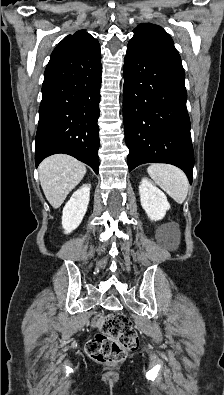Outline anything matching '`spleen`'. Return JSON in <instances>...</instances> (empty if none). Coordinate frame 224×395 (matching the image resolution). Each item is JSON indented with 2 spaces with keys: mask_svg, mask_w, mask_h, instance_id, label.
I'll list each match as a JSON object with an SVG mask.
<instances>
[{
  "mask_svg": "<svg viewBox=\"0 0 224 395\" xmlns=\"http://www.w3.org/2000/svg\"><path fill=\"white\" fill-rule=\"evenodd\" d=\"M147 172L175 202L182 204L185 201L189 182L181 169L169 164H152Z\"/></svg>",
  "mask_w": 224,
  "mask_h": 395,
  "instance_id": "3e777b00",
  "label": "spleen"
}]
</instances>
